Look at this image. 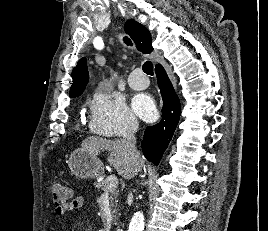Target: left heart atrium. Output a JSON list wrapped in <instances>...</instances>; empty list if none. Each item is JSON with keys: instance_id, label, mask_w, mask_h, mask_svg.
Segmentation results:
<instances>
[{"instance_id": "obj_1", "label": "left heart atrium", "mask_w": 268, "mask_h": 231, "mask_svg": "<svg viewBox=\"0 0 268 231\" xmlns=\"http://www.w3.org/2000/svg\"><path fill=\"white\" fill-rule=\"evenodd\" d=\"M136 115L145 121H153L157 117V109L154 100L147 94H137L131 102Z\"/></svg>"}]
</instances>
